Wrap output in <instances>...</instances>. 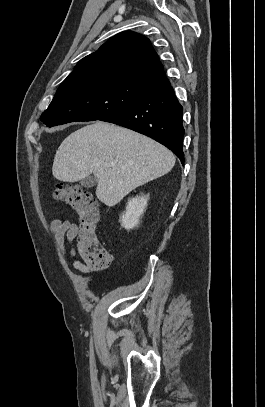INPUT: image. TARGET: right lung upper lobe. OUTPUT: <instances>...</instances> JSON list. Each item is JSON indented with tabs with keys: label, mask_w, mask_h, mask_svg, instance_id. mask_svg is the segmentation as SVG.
<instances>
[{
	"label": "right lung upper lobe",
	"mask_w": 265,
	"mask_h": 407,
	"mask_svg": "<svg viewBox=\"0 0 265 407\" xmlns=\"http://www.w3.org/2000/svg\"><path fill=\"white\" fill-rule=\"evenodd\" d=\"M85 74L133 80L152 87L167 81L149 39L132 31L110 38L96 52L81 59L67 78Z\"/></svg>",
	"instance_id": "obj_1"
}]
</instances>
